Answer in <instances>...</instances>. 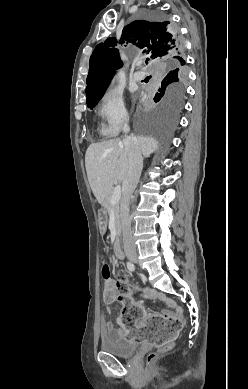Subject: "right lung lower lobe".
Returning a JSON list of instances; mask_svg holds the SVG:
<instances>
[{"instance_id":"obj_1","label":"right lung lower lobe","mask_w":248,"mask_h":389,"mask_svg":"<svg viewBox=\"0 0 248 389\" xmlns=\"http://www.w3.org/2000/svg\"><path fill=\"white\" fill-rule=\"evenodd\" d=\"M170 30L174 34V37H175L174 40H176V45H177L176 48H180V39H179V36H178L177 32L173 31L171 25H170Z\"/></svg>"}]
</instances>
